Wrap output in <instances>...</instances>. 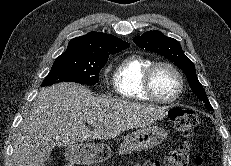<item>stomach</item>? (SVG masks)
<instances>
[{
	"label": "stomach",
	"mask_w": 231,
	"mask_h": 166,
	"mask_svg": "<svg viewBox=\"0 0 231 166\" xmlns=\"http://www.w3.org/2000/svg\"><path fill=\"white\" fill-rule=\"evenodd\" d=\"M166 137L167 132L162 127H142L124 138L118 153L147 150L162 143ZM65 157L67 160L81 165L98 164L111 157V149L101 143L79 142L66 148Z\"/></svg>",
	"instance_id": "stomach-1"
}]
</instances>
